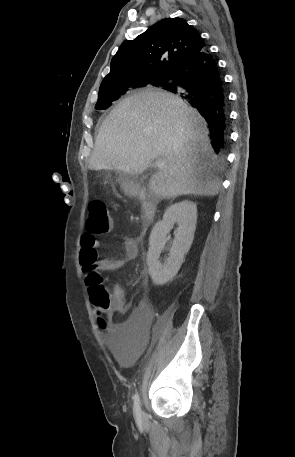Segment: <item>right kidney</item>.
Here are the masks:
<instances>
[{
  "label": "right kidney",
  "mask_w": 295,
  "mask_h": 457,
  "mask_svg": "<svg viewBox=\"0 0 295 457\" xmlns=\"http://www.w3.org/2000/svg\"><path fill=\"white\" fill-rule=\"evenodd\" d=\"M177 223L174 231L175 239L165 264H161L159 257L166 242V235ZM197 205L184 200L168 207L163 219L155 224L149 238L147 264L149 274L155 285H164L171 281L178 273L185 254L189 251L196 229Z\"/></svg>",
  "instance_id": "right-kidney-1"
}]
</instances>
